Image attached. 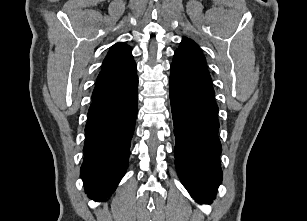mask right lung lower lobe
Instances as JSON below:
<instances>
[{"instance_id": "98d812e1", "label": "right lung lower lobe", "mask_w": 307, "mask_h": 221, "mask_svg": "<svg viewBox=\"0 0 307 221\" xmlns=\"http://www.w3.org/2000/svg\"><path fill=\"white\" fill-rule=\"evenodd\" d=\"M137 90L136 77L122 89L92 97L80 176L86 193L95 201L106 200L127 169L137 115Z\"/></svg>"}]
</instances>
